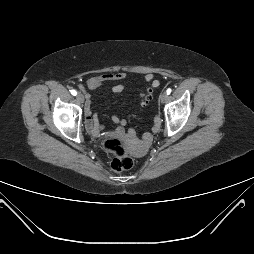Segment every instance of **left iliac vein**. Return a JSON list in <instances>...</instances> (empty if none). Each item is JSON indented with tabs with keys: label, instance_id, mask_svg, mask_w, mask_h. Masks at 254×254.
<instances>
[{
	"label": "left iliac vein",
	"instance_id": "1",
	"mask_svg": "<svg viewBox=\"0 0 254 254\" xmlns=\"http://www.w3.org/2000/svg\"><path fill=\"white\" fill-rule=\"evenodd\" d=\"M167 99H168V94H167L166 92H164V93H162V94L160 95V101H161L162 103H165V102L167 101Z\"/></svg>",
	"mask_w": 254,
	"mask_h": 254
}]
</instances>
